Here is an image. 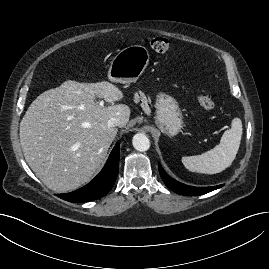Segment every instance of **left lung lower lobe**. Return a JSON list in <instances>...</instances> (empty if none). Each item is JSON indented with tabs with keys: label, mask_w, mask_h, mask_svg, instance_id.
I'll list each match as a JSON object with an SVG mask.
<instances>
[{
	"label": "left lung lower lobe",
	"mask_w": 269,
	"mask_h": 269,
	"mask_svg": "<svg viewBox=\"0 0 269 269\" xmlns=\"http://www.w3.org/2000/svg\"><path fill=\"white\" fill-rule=\"evenodd\" d=\"M159 173L166 184L168 188L173 190L174 192L181 194V195H186V196H198L202 194H206L208 192H211L215 189H218L222 187L223 185H217V186H212V187H193V186H188L185 184H182L173 178H171L162 168L161 164H159Z\"/></svg>",
	"instance_id": "obj_1"
}]
</instances>
